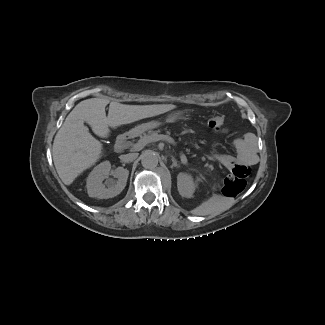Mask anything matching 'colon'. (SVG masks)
I'll use <instances>...</instances> for the list:
<instances>
[{
  "mask_svg": "<svg viewBox=\"0 0 325 325\" xmlns=\"http://www.w3.org/2000/svg\"><path fill=\"white\" fill-rule=\"evenodd\" d=\"M223 118L217 116L209 121V126L216 132H222L224 129ZM251 170L246 165L236 164L231 171V174L224 180L222 192L227 197H236L246 187L247 178Z\"/></svg>",
  "mask_w": 325,
  "mask_h": 325,
  "instance_id": "obj_1",
  "label": "colon"
}]
</instances>
